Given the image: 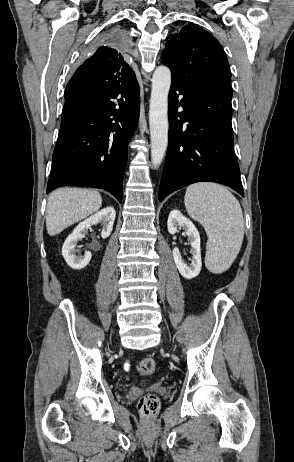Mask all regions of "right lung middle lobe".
I'll use <instances>...</instances> for the list:
<instances>
[{
	"label": "right lung middle lobe",
	"instance_id": "dd1d6c3e",
	"mask_svg": "<svg viewBox=\"0 0 294 462\" xmlns=\"http://www.w3.org/2000/svg\"><path fill=\"white\" fill-rule=\"evenodd\" d=\"M123 42V33L119 29L114 28L100 34L94 42V47H101L104 45L119 46Z\"/></svg>",
	"mask_w": 294,
	"mask_h": 462
}]
</instances>
